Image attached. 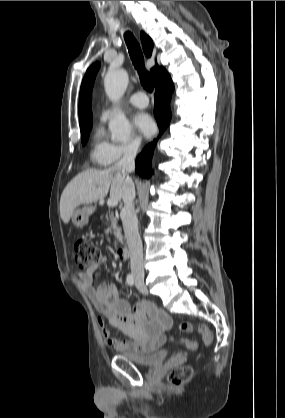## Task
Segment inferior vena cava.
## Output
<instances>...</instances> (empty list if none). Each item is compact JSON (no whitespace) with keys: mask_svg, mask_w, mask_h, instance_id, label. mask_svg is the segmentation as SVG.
Returning a JSON list of instances; mask_svg holds the SVG:
<instances>
[{"mask_svg":"<svg viewBox=\"0 0 285 418\" xmlns=\"http://www.w3.org/2000/svg\"><path fill=\"white\" fill-rule=\"evenodd\" d=\"M137 151L138 145H129L114 168L118 175L125 178L122 195L124 207L121 211V219L130 253L131 273L134 276H144L142 242L138 232V219L133 203L136 195L135 186L128 175V173L134 171Z\"/></svg>","mask_w":285,"mask_h":418,"instance_id":"602c4592","label":"inferior vena cava"}]
</instances>
